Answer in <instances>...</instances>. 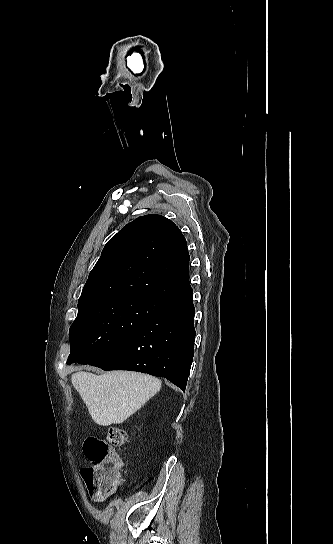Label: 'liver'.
<instances>
[{
  "label": "liver",
  "mask_w": 333,
  "mask_h": 544,
  "mask_svg": "<svg viewBox=\"0 0 333 544\" xmlns=\"http://www.w3.org/2000/svg\"><path fill=\"white\" fill-rule=\"evenodd\" d=\"M71 381L92 419L101 426L123 423L161 388L159 379L129 371L102 375L79 371Z\"/></svg>",
  "instance_id": "liver-1"
}]
</instances>
